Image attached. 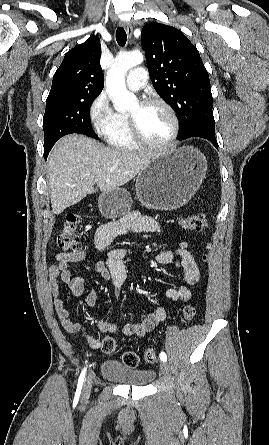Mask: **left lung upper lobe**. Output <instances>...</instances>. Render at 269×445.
<instances>
[{"mask_svg":"<svg viewBox=\"0 0 269 445\" xmlns=\"http://www.w3.org/2000/svg\"><path fill=\"white\" fill-rule=\"evenodd\" d=\"M153 86L176 111L179 139L194 132H215L208 72L196 47L178 29L151 22L141 31Z\"/></svg>","mask_w":269,"mask_h":445,"instance_id":"5c2ea615","label":"left lung upper lobe"}]
</instances>
